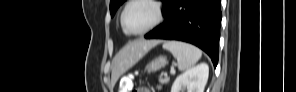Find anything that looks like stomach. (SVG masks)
Wrapping results in <instances>:
<instances>
[{
  "mask_svg": "<svg viewBox=\"0 0 296 92\" xmlns=\"http://www.w3.org/2000/svg\"><path fill=\"white\" fill-rule=\"evenodd\" d=\"M166 64V57L159 56L146 65L145 71H147L148 73L155 72L163 68Z\"/></svg>",
  "mask_w": 296,
  "mask_h": 92,
  "instance_id": "obj_1",
  "label": "stomach"
}]
</instances>
